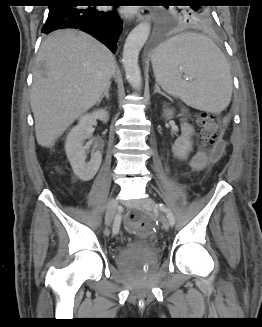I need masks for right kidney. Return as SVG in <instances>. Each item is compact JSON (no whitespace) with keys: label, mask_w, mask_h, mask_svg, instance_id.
<instances>
[{"label":"right kidney","mask_w":262,"mask_h":327,"mask_svg":"<svg viewBox=\"0 0 262 327\" xmlns=\"http://www.w3.org/2000/svg\"><path fill=\"white\" fill-rule=\"evenodd\" d=\"M96 119L107 122L109 114L105 109H99L81 116L65 142V152L72 169L83 181H89L95 176L102 161V154L98 150L93 152L90 161L86 162V148L83 146L85 140L91 137L92 125Z\"/></svg>","instance_id":"obj_1"}]
</instances>
